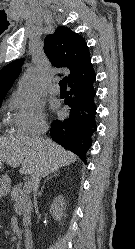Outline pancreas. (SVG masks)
<instances>
[{
  "label": "pancreas",
  "instance_id": "1",
  "mask_svg": "<svg viewBox=\"0 0 135 249\" xmlns=\"http://www.w3.org/2000/svg\"><path fill=\"white\" fill-rule=\"evenodd\" d=\"M11 198L15 201V210L23 213L26 216L31 212V201L28 192L22 190L19 186H14L11 191Z\"/></svg>",
  "mask_w": 135,
  "mask_h": 249
}]
</instances>
